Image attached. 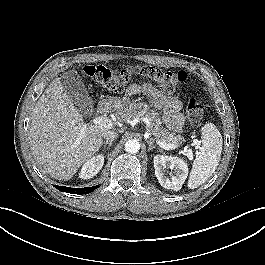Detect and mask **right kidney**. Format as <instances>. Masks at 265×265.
<instances>
[{
    "label": "right kidney",
    "mask_w": 265,
    "mask_h": 265,
    "mask_svg": "<svg viewBox=\"0 0 265 265\" xmlns=\"http://www.w3.org/2000/svg\"><path fill=\"white\" fill-rule=\"evenodd\" d=\"M104 156L97 155L86 161L81 169L80 178L90 179L94 177L103 167Z\"/></svg>",
    "instance_id": "right-kidney-1"
}]
</instances>
